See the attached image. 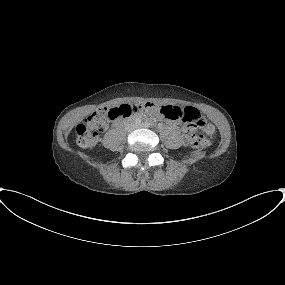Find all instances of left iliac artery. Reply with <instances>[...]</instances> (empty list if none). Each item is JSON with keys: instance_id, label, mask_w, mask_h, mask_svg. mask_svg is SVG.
<instances>
[{"instance_id": "obj_1", "label": "left iliac artery", "mask_w": 285, "mask_h": 285, "mask_svg": "<svg viewBox=\"0 0 285 285\" xmlns=\"http://www.w3.org/2000/svg\"><path fill=\"white\" fill-rule=\"evenodd\" d=\"M145 126H146V127H149V126H150V123H149V122H145Z\"/></svg>"}]
</instances>
